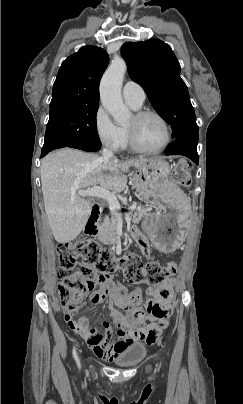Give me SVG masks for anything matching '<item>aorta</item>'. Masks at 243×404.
I'll return each instance as SVG.
<instances>
[{"mask_svg":"<svg viewBox=\"0 0 243 404\" xmlns=\"http://www.w3.org/2000/svg\"><path fill=\"white\" fill-rule=\"evenodd\" d=\"M126 70V62L122 58H113L100 82L102 106L119 124H125L131 116V112L125 106L121 96L122 82Z\"/></svg>","mask_w":243,"mask_h":404,"instance_id":"1","label":"aorta"}]
</instances>
